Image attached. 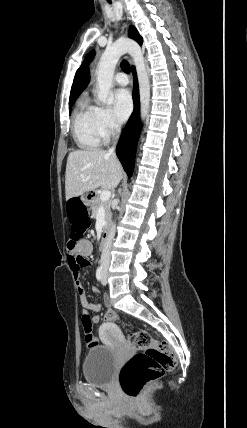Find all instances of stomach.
I'll return each instance as SVG.
<instances>
[{"label": "stomach", "mask_w": 247, "mask_h": 428, "mask_svg": "<svg viewBox=\"0 0 247 428\" xmlns=\"http://www.w3.org/2000/svg\"><path fill=\"white\" fill-rule=\"evenodd\" d=\"M87 196H88L87 194L83 195V196H82V199H86V198H87Z\"/></svg>", "instance_id": "obj_1"}]
</instances>
